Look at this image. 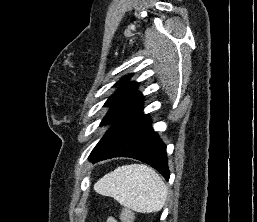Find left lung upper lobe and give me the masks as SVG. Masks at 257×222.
Listing matches in <instances>:
<instances>
[{"instance_id":"left-lung-upper-lobe-1","label":"left lung upper lobe","mask_w":257,"mask_h":222,"mask_svg":"<svg viewBox=\"0 0 257 222\" xmlns=\"http://www.w3.org/2000/svg\"><path fill=\"white\" fill-rule=\"evenodd\" d=\"M132 74L123 77L117 84L120 88L109 97L104 106H110L100 125L111 123V128L95 146L90 156L100 151L126 124L142 113L144 96L137 92L136 82L124 83Z\"/></svg>"}]
</instances>
